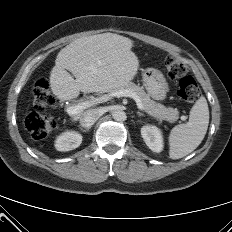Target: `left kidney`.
I'll use <instances>...</instances> for the list:
<instances>
[{"mask_svg":"<svg viewBox=\"0 0 232 232\" xmlns=\"http://www.w3.org/2000/svg\"><path fill=\"white\" fill-rule=\"evenodd\" d=\"M141 135L146 145L153 152H161L163 150V137L161 130L153 125H146L141 128Z\"/></svg>","mask_w":232,"mask_h":232,"instance_id":"obj_1","label":"left kidney"}]
</instances>
